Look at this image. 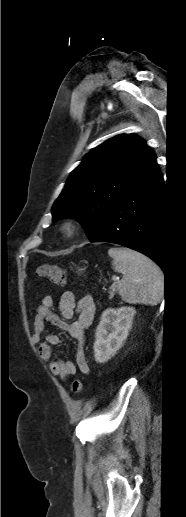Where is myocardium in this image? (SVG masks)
<instances>
[{"label":"myocardium","instance_id":"1","mask_svg":"<svg viewBox=\"0 0 186 517\" xmlns=\"http://www.w3.org/2000/svg\"><path fill=\"white\" fill-rule=\"evenodd\" d=\"M80 229V224L76 220L67 219L61 225V232L66 238L75 237Z\"/></svg>","mask_w":186,"mask_h":517}]
</instances>
